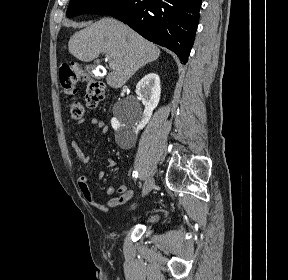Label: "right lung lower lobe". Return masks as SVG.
Wrapping results in <instances>:
<instances>
[{
    "label": "right lung lower lobe",
    "mask_w": 288,
    "mask_h": 280,
    "mask_svg": "<svg viewBox=\"0 0 288 280\" xmlns=\"http://www.w3.org/2000/svg\"><path fill=\"white\" fill-rule=\"evenodd\" d=\"M201 0H126L108 10L144 38L188 61L199 19Z\"/></svg>",
    "instance_id": "right-lung-lower-lobe-1"
}]
</instances>
